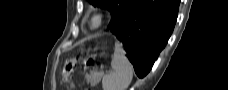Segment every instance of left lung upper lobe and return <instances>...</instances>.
I'll return each instance as SVG.
<instances>
[{
    "label": "left lung upper lobe",
    "instance_id": "1",
    "mask_svg": "<svg viewBox=\"0 0 228 90\" xmlns=\"http://www.w3.org/2000/svg\"><path fill=\"white\" fill-rule=\"evenodd\" d=\"M129 1L130 0H89V3L94 6L108 8L112 14V24L120 13L127 7Z\"/></svg>",
    "mask_w": 228,
    "mask_h": 90
}]
</instances>
